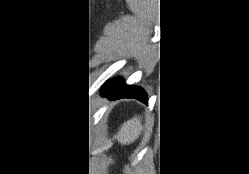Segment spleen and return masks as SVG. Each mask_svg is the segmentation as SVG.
<instances>
[{"mask_svg": "<svg viewBox=\"0 0 249 174\" xmlns=\"http://www.w3.org/2000/svg\"><path fill=\"white\" fill-rule=\"evenodd\" d=\"M141 129L140 117H133L121 126L116 139L122 145L133 143L139 137Z\"/></svg>", "mask_w": 249, "mask_h": 174, "instance_id": "spleen-1", "label": "spleen"}]
</instances>
